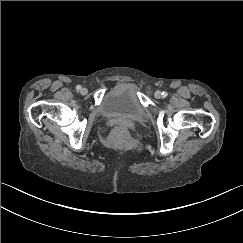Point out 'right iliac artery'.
<instances>
[{
	"label": "right iliac artery",
	"mask_w": 243,
	"mask_h": 243,
	"mask_svg": "<svg viewBox=\"0 0 243 243\" xmlns=\"http://www.w3.org/2000/svg\"><path fill=\"white\" fill-rule=\"evenodd\" d=\"M76 89H77V90H80V89H81V86H80V85H77V86H76Z\"/></svg>",
	"instance_id": "obj_1"
}]
</instances>
